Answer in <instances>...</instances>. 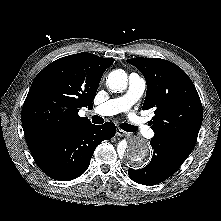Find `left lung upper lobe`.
<instances>
[{"mask_svg": "<svg viewBox=\"0 0 221 221\" xmlns=\"http://www.w3.org/2000/svg\"><path fill=\"white\" fill-rule=\"evenodd\" d=\"M144 75L147 83L142 109H154L150 121L153 138L162 139L191 152L203 119L202 104L189 76L164 59L126 60Z\"/></svg>", "mask_w": 221, "mask_h": 221, "instance_id": "1", "label": "left lung upper lobe"}]
</instances>
